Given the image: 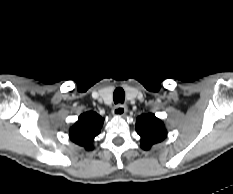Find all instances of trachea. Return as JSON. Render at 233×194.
<instances>
[{
	"mask_svg": "<svg viewBox=\"0 0 233 194\" xmlns=\"http://www.w3.org/2000/svg\"><path fill=\"white\" fill-rule=\"evenodd\" d=\"M125 92L122 88H116L113 93V100L115 104L124 103Z\"/></svg>",
	"mask_w": 233,
	"mask_h": 194,
	"instance_id": "trachea-1",
	"label": "trachea"
}]
</instances>
